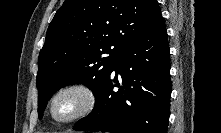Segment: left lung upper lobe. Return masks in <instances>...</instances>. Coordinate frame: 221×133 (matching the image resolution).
<instances>
[{
  "mask_svg": "<svg viewBox=\"0 0 221 133\" xmlns=\"http://www.w3.org/2000/svg\"><path fill=\"white\" fill-rule=\"evenodd\" d=\"M160 17L156 0H65L39 54V118L47 101L66 85L85 84L96 96L120 51Z\"/></svg>",
  "mask_w": 221,
  "mask_h": 133,
  "instance_id": "left-lung-upper-lobe-1",
  "label": "left lung upper lobe"
}]
</instances>
